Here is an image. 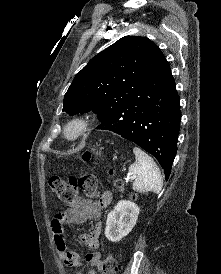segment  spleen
I'll list each match as a JSON object with an SVG mask.
<instances>
[{"label":"spleen","instance_id":"3e777b00","mask_svg":"<svg viewBox=\"0 0 221 274\" xmlns=\"http://www.w3.org/2000/svg\"><path fill=\"white\" fill-rule=\"evenodd\" d=\"M135 162L129 166V173L134 177L133 190L144 193H159L163 186L161 172L154 160L140 148L133 149Z\"/></svg>","mask_w":221,"mask_h":274}]
</instances>
